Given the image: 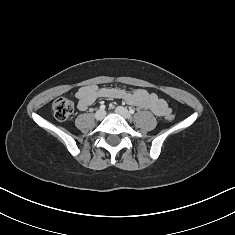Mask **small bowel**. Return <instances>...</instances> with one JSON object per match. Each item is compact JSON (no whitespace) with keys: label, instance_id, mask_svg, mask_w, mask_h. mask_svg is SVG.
<instances>
[{"label":"small bowel","instance_id":"1","mask_svg":"<svg viewBox=\"0 0 235 235\" xmlns=\"http://www.w3.org/2000/svg\"><path fill=\"white\" fill-rule=\"evenodd\" d=\"M77 107L84 111L96 100L101 98L122 99L131 105L148 109L157 116H165L171 112L167 102L145 89L137 88L127 92L120 88L98 87L96 85L83 86L75 94Z\"/></svg>","mask_w":235,"mask_h":235}]
</instances>
